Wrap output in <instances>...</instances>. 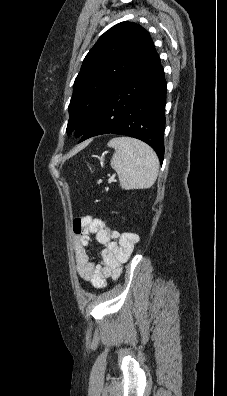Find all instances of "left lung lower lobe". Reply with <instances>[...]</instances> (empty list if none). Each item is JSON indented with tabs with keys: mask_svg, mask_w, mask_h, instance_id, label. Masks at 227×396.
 <instances>
[{
	"mask_svg": "<svg viewBox=\"0 0 227 396\" xmlns=\"http://www.w3.org/2000/svg\"><path fill=\"white\" fill-rule=\"evenodd\" d=\"M166 81L154 49L104 100L79 142L102 134H119L150 145L164 158Z\"/></svg>",
	"mask_w": 227,
	"mask_h": 396,
	"instance_id": "obj_1",
	"label": "left lung lower lobe"
}]
</instances>
